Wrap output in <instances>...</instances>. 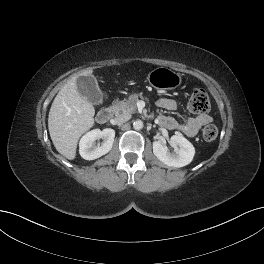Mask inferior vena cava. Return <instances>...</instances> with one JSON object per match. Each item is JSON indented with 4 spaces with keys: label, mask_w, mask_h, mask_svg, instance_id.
I'll return each instance as SVG.
<instances>
[{
    "label": "inferior vena cava",
    "mask_w": 264,
    "mask_h": 264,
    "mask_svg": "<svg viewBox=\"0 0 264 264\" xmlns=\"http://www.w3.org/2000/svg\"><path fill=\"white\" fill-rule=\"evenodd\" d=\"M129 119H130V115L122 114L119 117L115 118L113 121H114V124H123Z\"/></svg>",
    "instance_id": "602c4592"
}]
</instances>
